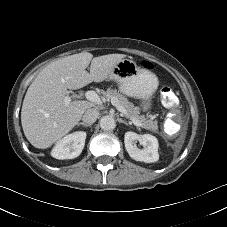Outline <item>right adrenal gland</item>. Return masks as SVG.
<instances>
[{
  "label": "right adrenal gland",
  "mask_w": 227,
  "mask_h": 227,
  "mask_svg": "<svg viewBox=\"0 0 227 227\" xmlns=\"http://www.w3.org/2000/svg\"><path fill=\"white\" fill-rule=\"evenodd\" d=\"M77 125H78V126H79V125H83V126H85V127L91 126L90 124H86V123H83V122L77 123Z\"/></svg>",
  "instance_id": "obj_1"
}]
</instances>
